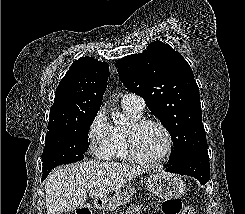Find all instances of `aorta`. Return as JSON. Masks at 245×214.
<instances>
[{"label":"aorta","mask_w":245,"mask_h":214,"mask_svg":"<svg viewBox=\"0 0 245 214\" xmlns=\"http://www.w3.org/2000/svg\"><path fill=\"white\" fill-rule=\"evenodd\" d=\"M112 120L115 124H123L125 122L124 116L119 112L112 113Z\"/></svg>","instance_id":"obj_1"}]
</instances>
